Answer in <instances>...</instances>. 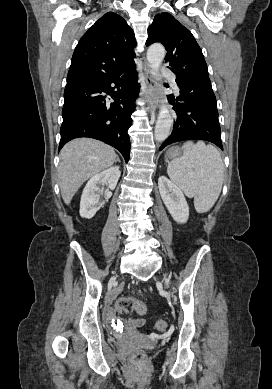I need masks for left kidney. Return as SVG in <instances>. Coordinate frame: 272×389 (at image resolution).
Segmentation results:
<instances>
[{"label": "left kidney", "instance_id": "obj_1", "mask_svg": "<svg viewBox=\"0 0 272 389\" xmlns=\"http://www.w3.org/2000/svg\"><path fill=\"white\" fill-rule=\"evenodd\" d=\"M158 188L172 218L177 223H186L189 217V206L181 189L165 176L159 177Z\"/></svg>", "mask_w": 272, "mask_h": 389}]
</instances>
